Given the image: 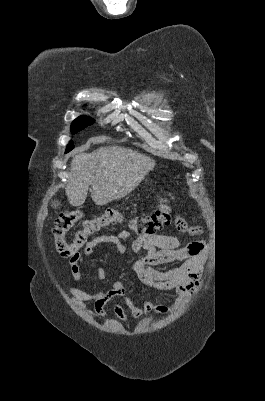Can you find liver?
I'll return each instance as SVG.
<instances>
[{
	"instance_id": "1",
	"label": "liver",
	"mask_w": 265,
	"mask_h": 401,
	"mask_svg": "<svg viewBox=\"0 0 265 401\" xmlns=\"http://www.w3.org/2000/svg\"><path fill=\"white\" fill-rule=\"evenodd\" d=\"M74 154L66 186L69 205H84L89 186L95 205H107L132 192L155 166V160L124 146H100Z\"/></svg>"
}]
</instances>
